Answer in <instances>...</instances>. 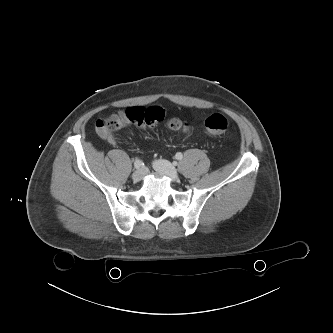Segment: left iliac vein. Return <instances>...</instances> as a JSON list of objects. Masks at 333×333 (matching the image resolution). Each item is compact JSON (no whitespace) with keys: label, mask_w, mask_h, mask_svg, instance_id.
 <instances>
[{"label":"left iliac vein","mask_w":333,"mask_h":333,"mask_svg":"<svg viewBox=\"0 0 333 333\" xmlns=\"http://www.w3.org/2000/svg\"><path fill=\"white\" fill-rule=\"evenodd\" d=\"M153 168L165 175L168 176L172 181L178 180L177 170L166 160H156L153 162Z\"/></svg>","instance_id":"obj_1"}]
</instances>
